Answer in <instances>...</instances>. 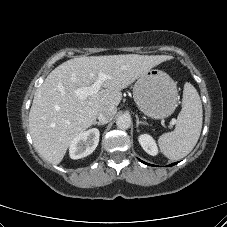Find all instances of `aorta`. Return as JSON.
<instances>
[{"mask_svg":"<svg viewBox=\"0 0 227 227\" xmlns=\"http://www.w3.org/2000/svg\"><path fill=\"white\" fill-rule=\"evenodd\" d=\"M130 125H131V119L129 116L121 115L116 120V126L119 129L126 130L130 127Z\"/></svg>","mask_w":227,"mask_h":227,"instance_id":"762f6f07","label":"aorta"}]
</instances>
